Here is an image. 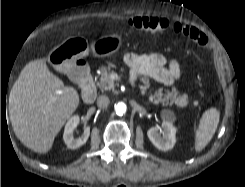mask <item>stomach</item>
<instances>
[{
    "instance_id": "obj_1",
    "label": "stomach",
    "mask_w": 245,
    "mask_h": 187,
    "mask_svg": "<svg viewBox=\"0 0 245 187\" xmlns=\"http://www.w3.org/2000/svg\"><path fill=\"white\" fill-rule=\"evenodd\" d=\"M122 37L118 34L104 36L89 46L86 39L70 37L55 47L48 55V63L59 72H67L79 59L87 56L92 50L95 57L105 58L115 54L122 46Z\"/></svg>"
}]
</instances>
